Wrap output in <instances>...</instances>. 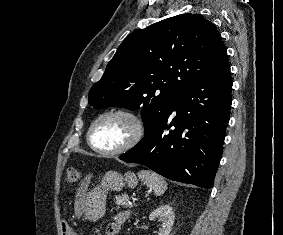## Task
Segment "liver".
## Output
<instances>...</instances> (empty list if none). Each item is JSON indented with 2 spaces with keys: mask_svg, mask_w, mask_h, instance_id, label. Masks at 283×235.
Wrapping results in <instances>:
<instances>
[{
  "mask_svg": "<svg viewBox=\"0 0 283 235\" xmlns=\"http://www.w3.org/2000/svg\"><path fill=\"white\" fill-rule=\"evenodd\" d=\"M91 176L92 175H88L85 178V180L81 183L80 188L78 189V193H77L78 196L81 197V196H83L85 194V190L87 189V187H88V185L90 183ZM79 202H80V199H79ZM79 202H78L77 206H79V204H80Z\"/></svg>",
  "mask_w": 283,
  "mask_h": 235,
  "instance_id": "obj_1",
  "label": "liver"
}]
</instances>
